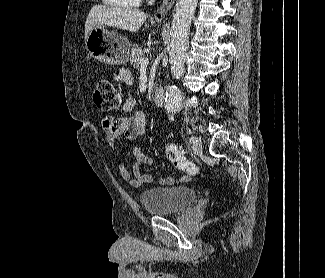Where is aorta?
<instances>
[{
  "instance_id": "aorta-1",
  "label": "aorta",
  "mask_w": 325,
  "mask_h": 278,
  "mask_svg": "<svg viewBox=\"0 0 325 278\" xmlns=\"http://www.w3.org/2000/svg\"><path fill=\"white\" fill-rule=\"evenodd\" d=\"M198 0H179L176 4L171 26V43L169 62L173 78H180L184 73V60L189 44V32L192 18L194 16ZM182 104L180 89L169 86L166 91L165 108L168 112L177 111Z\"/></svg>"
}]
</instances>
